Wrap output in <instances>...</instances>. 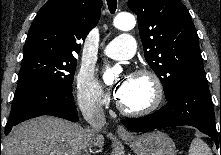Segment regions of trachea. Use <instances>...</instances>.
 I'll list each match as a JSON object with an SVG mask.
<instances>
[{"instance_id": "1", "label": "trachea", "mask_w": 221, "mask_h": 155, "mask_svg": "<svg viewBox=\"0 0 221 155\" xmlns=\"http://www.w3.org/2000/svg\"><path fill=\"white\" fill-rule=\"evenodd\" d=\"M108 8L111 13H114L117 8V0H107Z\"/></svg>"}]
</instances>
